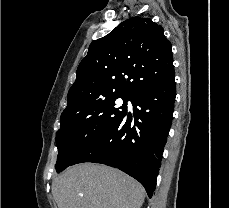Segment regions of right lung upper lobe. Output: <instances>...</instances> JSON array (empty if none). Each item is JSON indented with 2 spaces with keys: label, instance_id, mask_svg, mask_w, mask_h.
I'll list each match as a JSON object with an SVG mask.
<instances>
[{
  "label": "right lung upper lobe",
  "instance_id": "cb5924a9",
  "mask_svg": "<svg viewBox=\"0 0 229 208\" xmlns=\"http://www.w3.org/2000/svg\"><path fill=\"white\" fill-rule=\"evenodd\" d=\"M172 62V46L161 26L145 17L123 21L90 44L78 66L61 118L100 99L134 97L171 75Z\"/></svg>",
  "mask_w": 229,
  "mask_h": 208
}]
</instances>
